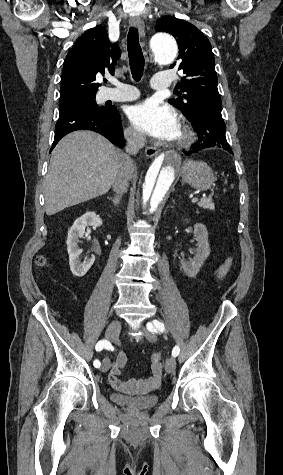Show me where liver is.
I'll return each instance as SVG.
<instances>
[{
    "label": "liver",
    "mask_w": 283,
    "mask_h": 475,
    "mask_svg": "<svg viewBox=\"0 0 283 475\" xmlns=\"http://www.w3.org/2000/svg\"><path fill=\"white\" fill-rule=\"evenodd\" d=\"M121 152L104 136L79 130L58 142L46 174L47 216L103 196L113 186Z\"/></svg>",
    "instance_id": "1"
}]
</instances>
